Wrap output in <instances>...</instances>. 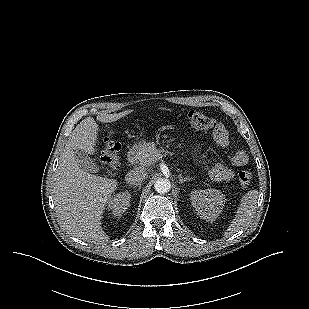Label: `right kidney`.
Wrapping results in <instances>:
<instances>
[{"label": "right kidney", "instance_id": "ca27d5eb", "mask_svg": "<svg viewBox=\"0 0 309 309\" xmlns=\"http://www.w3.org/2000/svg\"><path fill=\"white\" fill-rule=\"evenodd\" d=\"M131 195L129 192H121L108 201V210H112L114 216H121L129 206Z\"/></svg>", "mask_w": 309, "mask_h": 309}]
</instances>
